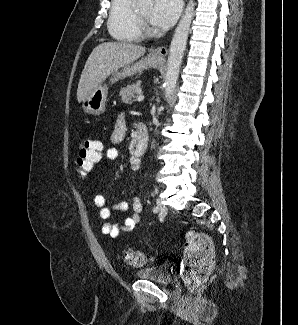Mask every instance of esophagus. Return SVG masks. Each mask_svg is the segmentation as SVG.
Segmentation results:
<instances>
[{
    "label": "esophagus",
    "instance_id": "1",
    "mask_svg": "<svg viewBox=\"0 0 298 325\" xmlns=\"http://www.w3.org/2000/svg\"><path fill=\"white\" fill-rule=\"evenodd\" d=\"M168 54V50L166 47H157L152 50V56L157 59H162L166 57Z\"/></svg>",
    "mask_w": 298,
    "mask_h": 325
}]
</instances>
